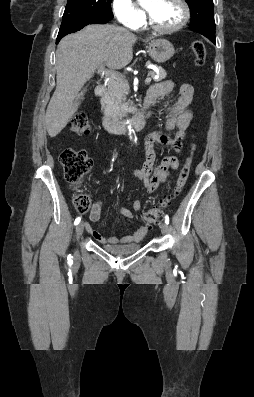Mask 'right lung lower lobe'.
<instances>
[{
  "label": "right lung lower lobe",
  "mask_w": 254,
  "mask_h": 397,
  "mask_svg": "<svg viewBox=\"0 0 254 397\" xmlns=\"http://www.w3.org/2000/svg\"><path fill=\"white\" fill-rule=\"evenodd\" d=\"M112 18L113 15L106 17H92L78 13H64L56 44H58L65 35L76 32L88 24H105Z\"/></svg>",
  "instance_id": "obj_1"
}]
</instances>
